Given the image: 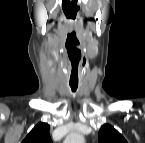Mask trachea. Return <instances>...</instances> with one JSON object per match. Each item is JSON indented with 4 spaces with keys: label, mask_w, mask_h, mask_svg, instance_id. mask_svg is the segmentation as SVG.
Returning a JSON list of instances; mask_svg holds the SVG:
<instances>
[{
    "label": "trachea",
    "mask_w": 145,
    "mask_h": 143,
    "mask_svg": "<svg viewBox=\"0 0 145 143\" xmlns=\"http://www.w3.org/2000/svg\"><path fill=\"white\" fill-rule=\"evenodd\" d=\"M70 87L72 89V92H75L78 87V82H70Z\"/></svg>",
    "instance_id": "3493384b"
}]
</instances>
